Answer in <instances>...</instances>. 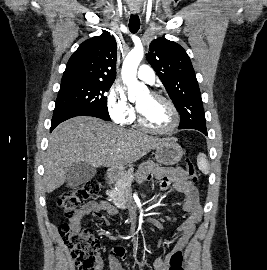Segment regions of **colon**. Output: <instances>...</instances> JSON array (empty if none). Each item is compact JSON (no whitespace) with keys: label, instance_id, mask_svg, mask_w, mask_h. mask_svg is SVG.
<instances>
[{"label":"colon","instance_id":"colon-1","mask_svg":"<svg viewBox=\"0 0 267 270\" xmlns=\"http://www.w3.org/2000/svg\"><path fill=\"white\" fill-rule=\"evenodd\" d=\"M188 180L196 182L198 174L192 160L185 162ZM99 185L95 181H88L82 185L66 191L59 199V205L67 215H74L78 208L95 196ZM59 233L78 270H100L101 255L99 240L92 230L73 226L70 222L59 225ZM184 256L182 251L171 254L168 270H183Z\"/></svg>","mask_w":267,"mask_h":270}]
</instances>
